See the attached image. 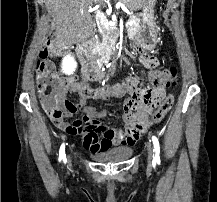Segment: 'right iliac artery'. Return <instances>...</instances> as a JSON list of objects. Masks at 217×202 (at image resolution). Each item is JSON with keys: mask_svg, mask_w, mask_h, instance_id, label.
<instances>
[{"mask_svg": "<svg viewBox=\"0 0 217 202\" xmlns=\"http://www.w3.org/2000/svg\"><path fill=\"white\" fill-rule=\"evenodd\" d=\"M63 160L64 163L67 162L66 154H65V144L63 143L59 150V161Z\"/></svg>", "mask_w": 217, "mask_h": 202, "instance_id": "right-iliac-artery-1", "label": "right iliac artery"}]
</instances>
